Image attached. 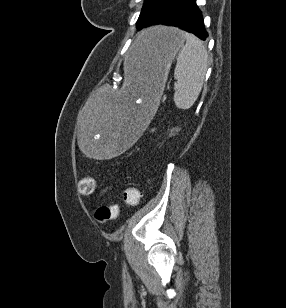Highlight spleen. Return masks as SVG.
<instances>
[{"mask_svg": "<svg viewBox=\"0 0 286 308\" xmlns=\"http://www.w3.org/2000/svg\"><path fill=\"white\" fill-rule=\"evenodd\" d=\"M186 44L180 51L174 70L177 80L174 102L179 109H189L197 100L208 68V53L203 43L184 32Z\"/></svg>", "mask_w": 286, "mask_h": 308, "instance_id": "1", "label": "spleen"}]
</instances>
